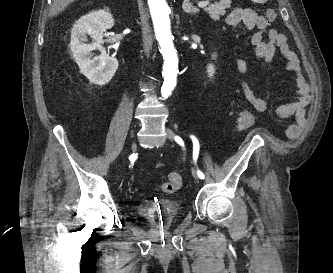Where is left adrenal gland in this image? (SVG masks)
I'll return each mask as SVG.
<instances>
[{"label": "left adrenal gland", "instance_id": "1", "mask_svg": "<svg viewBox=\"0 0 333 273\" xmlns=\"http://www.w3.org/2000/svg\"><path fill=\"white\" fill-rule=\"evenodd\" d=\"M183 10L188 14H196L199 13V9L190 2V0H183L182 3Z\"/></svg>", "mask_w": 333, "mask_h": 273}]
</instances>
